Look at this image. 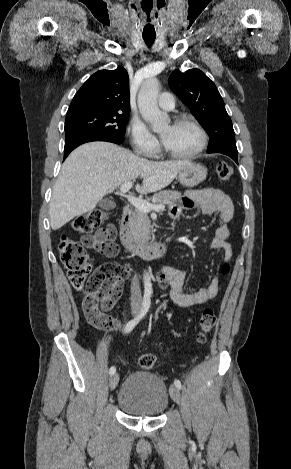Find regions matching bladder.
Wrapping results in <instances>:
<instances>
[{
    "label": "bladder",
    "instance_id": "31cf9c89",
    "mask_svg": "<svg viewBox=\"0 0 291 469\" xmlns=\"http://www.w3.org/2000/svg\"><path fill=\"white\" fill-rule=\"evenodd\" d=\"M117 404L122 411L132 416H159L169 404V392L157 375L134 371L122 383Z\"/></svg>",
    "mask_w": 291,
    "mask_h": 469
}]
</instances>
